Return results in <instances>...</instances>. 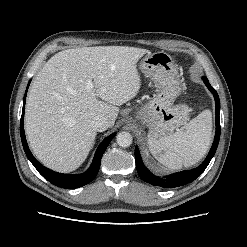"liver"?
<instances>
[{
  "mask_svg": "<svg viewBox=\"0 0 247 247\" xmlns=\"http://www.w3.org/2000/svg\"><path fill=\"white\" fill-rule=\"evenodd\" d=\"M145 53L150 52L95 46L67 49L47 61L31 86L25 110L27 140L41 163L71 172L85 161L97 135L93 118L103 116L114 126L118 106L139 92L136 64Z\"/></svg>",
  "mask_w": 247,
  "mask_h": 247,
  "instance_id": "obj_1",
  "label": "liver"
}]
</instances>
